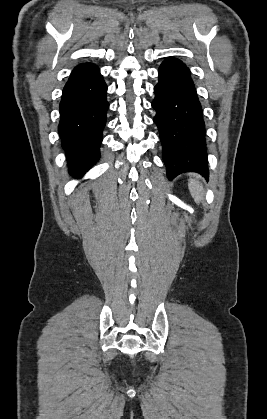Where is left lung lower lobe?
<instances>
[{
    "instance_id": "1",
    "label": "left lung lower lobe",
    "mask_w": 267,
    "mask_h": 419,
    "mask_svg": "<svg viewBox=\"0 0 267 419\" xmlns=\"http://www.w3.org/2000/svg\"><path fill=\"white\" fill-rule=\"evenodd\" d=\"M152 107L163 146L167 176L184 172L208 177L205 124L189 68L176 58L166 59L158 69Z\"/></svg>"
}]
</instances>
